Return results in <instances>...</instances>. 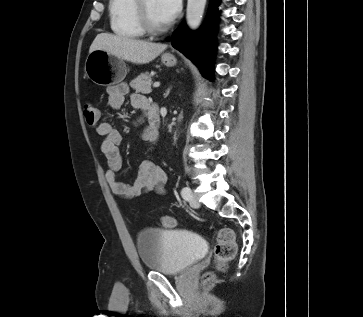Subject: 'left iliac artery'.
Returning <instances> with one entry per match:
<instances>
[{
	"label": "left iliac artery",
	"mask_w": 363,
	"mask_h": 317,
	"mask_svg": "<svg viewBox=\"0 0 363 317\" xmlns=\"http://www.w3.org/2000/svg\"><path fill=\"white\" fill-rule=\"evenodd\" d=\"M181 195L184 199L189 200L191 197V189L189 187H184L181 191Z\"/></svg>",
	"instance_id": "44dca946"
}]
</instances>
